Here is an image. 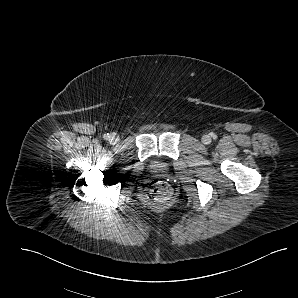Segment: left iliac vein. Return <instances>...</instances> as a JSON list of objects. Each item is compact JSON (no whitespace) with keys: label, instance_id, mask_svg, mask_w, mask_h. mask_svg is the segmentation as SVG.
Instances as JSON below:
<instances>
[{"label":"left iliac vein","instance_id":"4c4485c4","mask_svg":"<svg viewBox=\"0 0 298 298\" xmlns=\"http://www.w3.org/2000/svg\"><path fill=\"white\" fill-rule=\"evenodd\" d=\"M202 142H203L204 144H208V143H210V142H211V138H210V136H208V135H203V136H202Z\"/></svg>","mask_w":298,"mask_h":298}]
</instances>
